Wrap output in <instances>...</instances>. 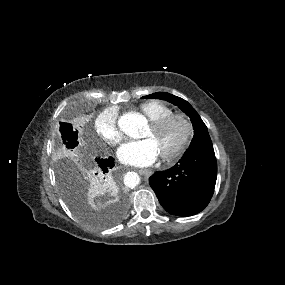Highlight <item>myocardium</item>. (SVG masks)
<instances>
[{
	"label": "myocardium",
	"instance_id": "1",
	"mask_svg": "<svg viewBox=\"0 0 285 285\" xmlns=\"http://www.w3.org/2000/svg\"><path fill=\"white\" fill-rule=\"evenodd\" d=\"M173 122H179L183 126V135L175 148L161 154L162 159L166 162L178 160L188 149L194 135V127L190 118L181 112H171L153 120L150 122V126L154 131L161 132Z\"/></svg>",
	"mask_w": 285,
	"mask_h": 285
}]
</instances>
